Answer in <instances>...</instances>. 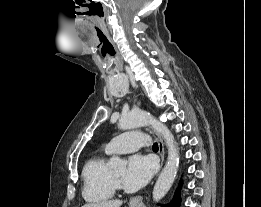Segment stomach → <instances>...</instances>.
I'll return each mask as SVG.
<instances>
[{"instance_id":"obj_1","label":"stomach","mask_w":261,"mask_h":207,"mask_svg":"<svg viewBox=\"0 0 261 207\" xmlns=\"http://www.w3.org/2000/svg\"><path fill=\"white\" fill-rule=\"evenodd\" d=\"M129 207H145L143 204H132L130 203Z\"/></svg>"}]
</instances>
